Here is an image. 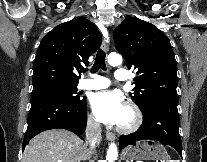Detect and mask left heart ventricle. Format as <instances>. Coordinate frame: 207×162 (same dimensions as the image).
Instances as JSON below:
<instances>
[{"label": "left heart ventricle", "instance_id": "b2bd125f", "mask_svg": "<svg viewBox=\"0 0 207 162\" xmlns=\"http://www.w3.org/2000/svg\"><path fill=\"white\" fill-rule=\"evenodd\" d=\"M131 120V113L130 111L128 110V108L126 107L124 113H123V116L119 122V125H126L130 122Z\"/></svg>", "mask_w": 207, "mask_h": 162}]
</instances>
